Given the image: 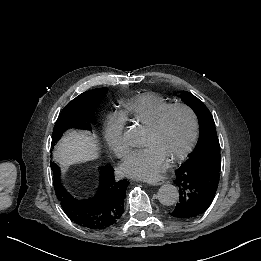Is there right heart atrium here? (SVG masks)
<instances>
[{"mask_svg": "<svg viewBox=\"0 0 261 261\" xmlns=\"http://www.w3.org/2000/svg\"><path fill=\"white\" fill-rule=\"evenodd\" d=\"M103 135L106 148L117 157H122L128 147L123 137V126L110 121L106 122Z\"/></svg>", "mask_w": 261, "mask_h": 261, "instance_id": "d8ad5b80", "label": "right heart atrium"}]
</instances>
